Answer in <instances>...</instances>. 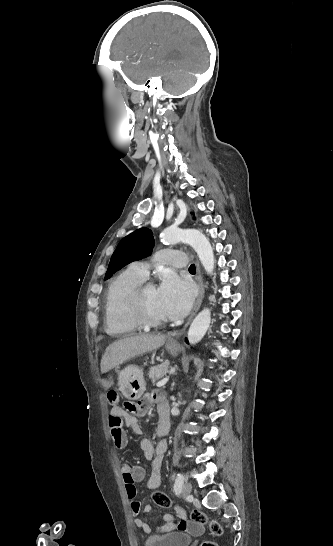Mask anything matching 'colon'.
<instances>
[{
    "label": "colon",
    "instance_id": "obj_1",
    "mask_svg": "<svg viewBox=\"0 0 333 546\" xmlns=\"http://www.w3.org/2000/svg\"><path fill=\"white\" fill-rule=\"evenodd\" d=\"M109 403L115 405L118 400V394L116 391H110L108 393ZM128 407H132V404H128ZM152 500L154 504L163 509H169L172 507L171 498L164 492L156 491L152 494ZM191 520L196 524L209 523L212 532L216 535L221 534L222 528L216 520H209L208 516L200 509H193L191 512ZM204 546H213V544H204Z\"/></svg>",
    "mask_w": 333,
    "mask_h": 546
}]
</instances>
